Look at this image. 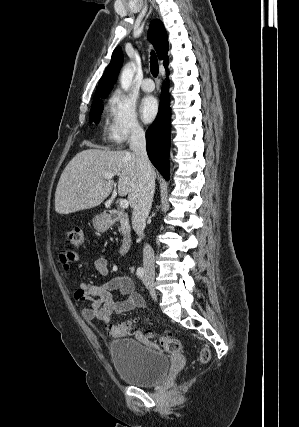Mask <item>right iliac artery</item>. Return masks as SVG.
<instances>
[{"instance_id":"obj_1","label":"right iliac artery","mask_w":299,"mask_h":427,"mask_svg":"<svg viewBox=\"0 0 299 427\" xmlns=\"http://www.w3.org/2000/svg\"><path fill=\"white\" fill-rule=\"evenodd\" d=\"M136 274H137V276L139 277V278H142L143 277V275H144V270H143V268H138L137 269V271H136Z\"/></svg>"}]
</instances>
